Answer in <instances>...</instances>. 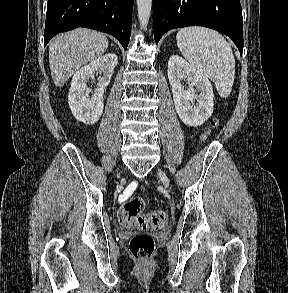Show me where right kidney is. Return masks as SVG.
Here are the masks:
<instances>
[{
	"label": "right kidney",
	"instance_id": "obj_1",
	"mask_svg": "<svg viewBox=\"0 0 288 293\" xmlns=\"http://www.w3.org/2000/svg\"><path fill=\"white\" fill-rule=\"evenodd\" d=\"M117 62V55L108 53L80 68L74 74L69 90L68 103L76 119L87 124H94L99 120L104 108V90L110 83ZM95 73H100L102 76L98 78L99 87L89 98L86 83L94 77Z\"/></svg>",
	"mask_w": 288,
	"mask_h": 293
}]
</instances>
